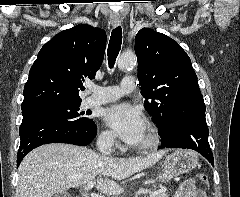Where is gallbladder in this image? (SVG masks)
I'll return each mask as SVG.
<instances>
[{
	"label": "gallbladder",
	"mask_w": 240,
	"mask_h": 197,
	"mask_svg": "<svg viewBox=\"0 0 240 197\" xmlns=\"http://www.w3.org/2000/svg\"><path fill=\"white\" fill-rule=\"evenodd\" d=\"M55 197H72V196L69 193H67V192H63V193L58 194Z\"/></svg>",
	"instance_id": "gallbladder-1"
}]
</instances>
